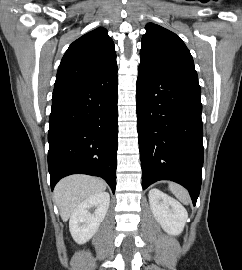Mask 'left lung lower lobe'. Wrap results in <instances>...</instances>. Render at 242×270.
I'll return each instance as SVG.
<instances>
[{"mask_svg":"<svg viewBox=\"0 0 242 270\" xmlns=\"http://www.w3.org/2000/svg\"><path fill=\"white\" fill-rule=\"evenodd\" d=\"M200 97L199 83L139 65L136 100L143 189L172 180L184 186L196 204L203 166Z\"/></svg>","mask_w":242,"mask_h":270,"instance_id":"0a47b994","label":"left lung lower lobe"}]
</instances>
